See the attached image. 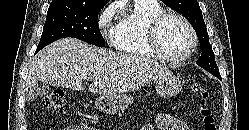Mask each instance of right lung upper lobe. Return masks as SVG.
<instances>
[{
    "mask_svg": "<svg viewBox=\"0 0 249 130\" xmlns=\"http://www.w3.org/2000/svg\"><path fill=\"white\" fill-rule=\"evenodd\" d=\"M108 1L109 0H52L50 5L58 3H69V4L83 5V6H97V5L105 6Z\"/></svg>",
    "mask_w": 249,
    "mask_h": 130,
    "instance_id": "obj_1",
    "label": "right lung upper lobe"
}]
</instances>
